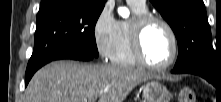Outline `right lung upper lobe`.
Here are the masks:
<instances>
[{
	"mask_svg": "<svg viewBox=\"0 0 221 102\" xmlns=\"http://www.w3.org/2000/svg\"><path fill=\"white\" fill-rule=\"evenodd\" d=\"M73 1H79V0H41L40 8L47 7L56 3L73 2ZM81 1H86L91 6H104L106 2V0H81Z\"/></svg>",
	"mask_w": 221,
	"mask_h": 102,
	"instance_id": "1",
	"label": "right lung upper lobe"
}]
</instances>
